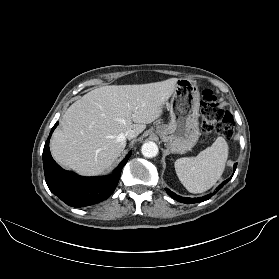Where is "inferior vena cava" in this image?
Wrapping results in <instances>:
<instances>
[{"label": "inferior vena cava", "instance_id": "inferior-vena-cava-1", "mask_svg": "<svg viewBox=\"0 0 279 279\" xmlns=\"http://www.w3.org/2000/svg\"><path fill=\"white\" fill-rule=\"evenodd\" d=\"M138 134L134 130H128L125 134L127 139L135 138Z\"/></svg>", "mask_w": 279, "mask_h": 279}]
</instances>
